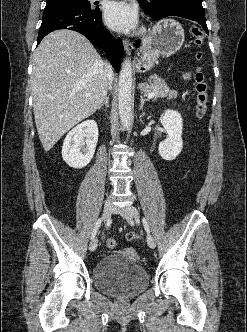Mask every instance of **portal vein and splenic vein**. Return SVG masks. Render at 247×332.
Instances as JSON below:
<instances>
[{"label":"portal vein and splenic vein","instance_id":"1","mask_svg":"<svg viewBox=\"0 0 247 332\" xmlns=\"http://www.w3.org/2000/svg\"><path fill=\"white\" fill-rule=\"evenodd\" d=\"M154 96H155V93H154V92H150V93L147 94V98H148V99H151V98H153Z\"/></svg>","mask_w":247,"mask_h":332}]
</instances>
